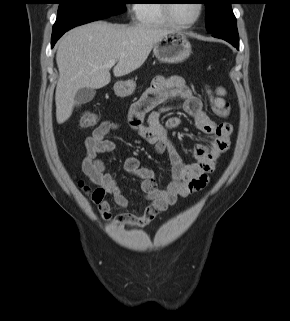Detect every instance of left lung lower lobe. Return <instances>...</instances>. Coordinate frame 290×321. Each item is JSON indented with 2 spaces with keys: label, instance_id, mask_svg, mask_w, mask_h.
<instances>
[{
  "label": "left lung lower lobe",
  "instance_id": "left-lung-lower-lobe-1",
  "mask_svg": "<svg viewBox=\"0 0 290 321\" xmlns=\"http://www.w3.org/2000/svg\"><path fill=\"white\" fill-rule=\"evenodd\" d=\"M214 37L224 39L234 47L239 49V36L237 26L226 31L212 33Z\"/></svg>",
  "mask_w": 290,
  "mask_h": 321
}]
</instances>
